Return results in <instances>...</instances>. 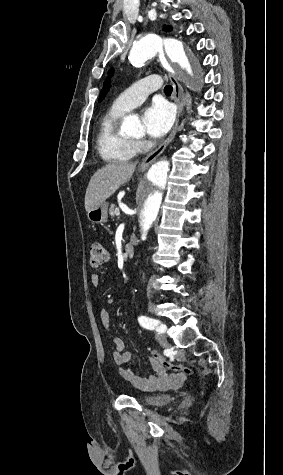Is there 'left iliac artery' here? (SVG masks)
Segmentation results:
<instances>
[{"label": "left iliac artery", "mask_w": 283, "mask_h": 475, "mask_svg": "<svg viewBox=\"0 0 283 475\" xmlns=\"http://www.w3.org/2000/svg\"><path fill=\"white\" fill-rule=\"evenodd\" d=\"M138 321H139L141 326H143L144 328H147V329H155V327L157 325H159V323H160L158 320H154V319H151V318L146 317V316H140L138 318ZM157 331L163 333L165 331V326L160 325L157 328Z\"/></svg>", "instance_id": "left-iliac-artery-1"}]
</instances>
